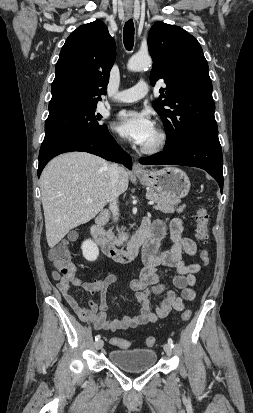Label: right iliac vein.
Here are the masks:
<instances>
[{
  "mask_svg": "<svg viewBox=\"0 0 253 413\" xmlns=\"http://www.w3.org/2000/svg\"><path fill=\"white\" fill-rule=\"evenodd\" d=\"M103 345H104V342L101 339L97 340V342L95 343V347L97 350L101 349Z\"/></svg>",
  "mask_w": 253,
  "mask_h": 413,
  "instance_id": "1",
  "label": "right iliac vein"
}]
</instances>
